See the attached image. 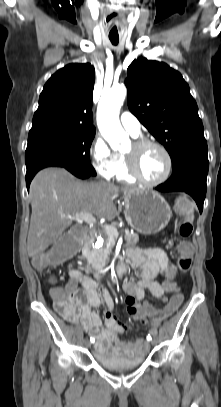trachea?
Returning a JSON list of instances; mask_svg holds the SVG:
<instances>
[{
  "instance_id": "trachea-1",
  "label": "trachea",
  "mask_w": 221,
  "mask_h": 407,
  "mask_svg": "<svg viewBox=\"0 0 221 407\" xmlns=\"http://www.w3.org/2000/svg\"><path fill=\"white\" fill-rule=\"evenodd\" d=\"M109 39H110V41L112 42L113 45H117L118 42H119V37L118 36L117 37L109 36Z\"/></svg>"
}]
</instances>
